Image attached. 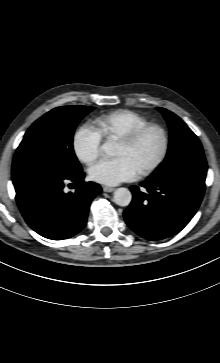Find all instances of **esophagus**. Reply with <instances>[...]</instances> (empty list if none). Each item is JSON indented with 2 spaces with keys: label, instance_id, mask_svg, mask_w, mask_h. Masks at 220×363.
Returning a JSON list of instances; mask_svg holds the SVG:
<instances>
[{
  "label": "esophagus",
  "instance_id": "esophagus-1",
  "mask_svg": "<svg viewBox=\"0 0 220 363\" xmlns=\"http://www.w3.org/2000/svg\"><path fill=\"white\" fill-rule=\"evenodd\" d=\"M114 190H115V188H113V187H108V186L103 187V191H105V192H113Z\"/></svg>",
  "mask_w": 220,
  "mask_h": 363
}]
</instances>
